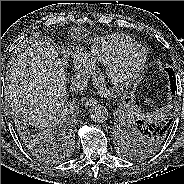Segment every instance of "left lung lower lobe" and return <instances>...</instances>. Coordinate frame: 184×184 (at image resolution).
Instances as JSON below:
<instances>
[{"instance_id":"left-lung-lower-lobe-1","label":"left lung lower lobe","mask_w":184,"mask_h":184,"mask_svg":"<svg viewBox=\"0 0 184 184\" xmlns=\"http://www.w3.org/2000/svg\"><path fill=\"white\" fill-rule=\"evenodd\" d=\"M166 71L169 74L171 92H172V94H175L176 78H175L174 71L171 68H167ZM172 120L173 119L164 120V121L159 122V123H155V122L147 123V129H148V131H152L160 137L167 138V136L170 133ZM131 130H132V127L130 128V130L126 129V131H124V132H126L125 133L126 137L128 138V140H130V142H132Z\"/></svg>"}]
</instances>
